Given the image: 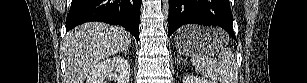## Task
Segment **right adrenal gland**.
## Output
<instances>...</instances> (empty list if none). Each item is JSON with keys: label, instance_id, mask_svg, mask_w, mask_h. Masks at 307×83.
I'll return each instance as SVG.
<instances>
[{"label": "right adrenal gland", "instance_id": "2a0ac1e0", "mask_svg": "<svg viewBox=\"0 0 307 83\" xmlns=\"http://www.w3.org/2000/svg\"><path fill=\"white\" fill-rule=\"evenodd\" d=\"M124 54H127V50H126V51H124Z\"/></svg>", "mask_w": 307, "mask_h": 83}]
</instances>
